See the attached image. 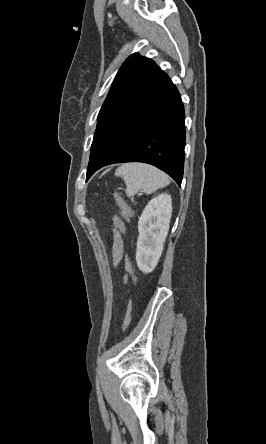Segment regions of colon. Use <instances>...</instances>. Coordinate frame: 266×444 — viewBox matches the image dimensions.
Segmentation results:
<instances>
[{"mask_svg":"<svg viewBox=\"0 0 266 444\" xmlns=\"http://www.w3.org/2000/svg\"><path fill=\"white\" fill-rule=\"evenodd\" d=\"M115 198L121 209L123 218L126 221H128L131 217V210L129 206L124 202V200L120 197L119 194H116ZM113 222H114V229H113L112 263L115 267H118L121 262L124 249L123 234L125 231V223L124 220L118 215L114 216ZM131 314H132V303L131 300H129L122 322L123 331H125L130 324Z\"/></svg>","mask_w":266,"mask_h":444,"instance_id":"obj_1","label":"colon"}]
</instances>
